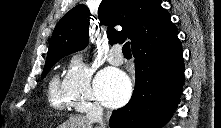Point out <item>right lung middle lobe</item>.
<instances>
[{"label":"right lung middle lobe","instance_id":"1","mask_svg":"<svg viewBox=\"0 0 221 128\" xmlns=\"http://www.w3.org/2000/svg\"><path fill=\"white\" fill-rule=\"evenodd\" d=\"M58 60H60V59L53 60V61H50V62L45 63L44 70H43V73H42V79L47 75V73L49 72V70L51 69V67H52Z\"/></svg>","mask_w":221,"mask_h":128}]
</instances>
